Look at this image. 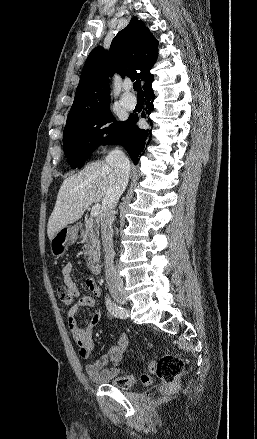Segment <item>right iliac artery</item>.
<instances>
[{
    "instance_id": "1",
    "label": "right iliac artery",
    "mask_w": 257,
    "mask_h": 439,
    "mask_svg": "<svg viewBox=\"0 0 257 439\" xmlns=\"http://www.w3.org/2000/svg\"><path fill=\"white\" fill-rule=\"evenodd\" d=\"M106 306H107L108 311L112 315H114L115 317H118L121 319L128 317L127 311L124 308H122V307L116 305L114 302H112L110 298L106 299Z\"/></svg>"
}]
</instances>
